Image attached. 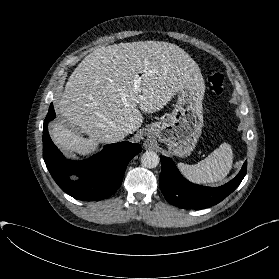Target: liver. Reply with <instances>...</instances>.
<instances>
[{
	"instance_id": "1",
	"label": "liver",
	"mask_w": 279,
	"mask_h": 279,
	"mask_svg": "<svg viewBox=\"0 0 279 279\" xmlns=\"http://www.w3.org/2000/svg\"><path fill=\"white\" fill-rule=\"evenodd\" d=\"M145 72L135 91L136 75ZM184 88L196 91L200 106L205 85L199 66L175 44L138 41L101 47L81 61L55 99V110L67 124L54 123L50 135L65 153L89 155L101 143L123 140L122 128L138 130L142 112L159 111Z\"/></svg>"
}]
</instances>
